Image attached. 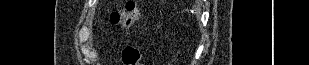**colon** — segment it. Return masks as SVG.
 I'll return each instance as SVG.
<instances>
[{
    "mask_svg": "<svg viewBox=\"0 0 309 65\" xmlns=\"http://www.w3.org/2000/svg\"><path fill=\"white\" fill-rule=\"evenodd\" d=\"M142 16L141 9L136 1H129L124 9L115 10L110 15V20L114 25L129 26L137 22ZM125 65H139L141 53L136 43L128 44L122 54Z\"/></svg>",
    "mask_w": 309,
    "mask_h": 65,
    "instance_id": "obj_1",
    "label": "colon"
}]
</instances>
